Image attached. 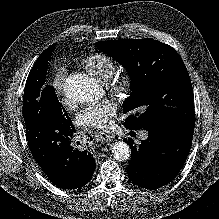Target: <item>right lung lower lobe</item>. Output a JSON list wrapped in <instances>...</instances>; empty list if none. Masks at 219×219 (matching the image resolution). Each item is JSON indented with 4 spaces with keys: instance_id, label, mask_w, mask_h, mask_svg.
Listing matches in <instances>:
<instances>
[{
    "instance_id": "obj_1",
    "label": "right lung lower lobe",
    "mask_w": 219,
    "mask_h": 219,
    "mask_svg": "<svg viewBox=\"0 0 219 219\" xmlns=\"http://www.w3.org/2000/svg\"><path fill=\"white\" fill-rule=\"evenodd\" d=\"M29 149L49 180L63 189H76L87 184L95 171L90 149H77L73 141L76 130L58 116L38 113L25 122ZM80 142H77V145Z\"/></svg>"
}]
</instances>
